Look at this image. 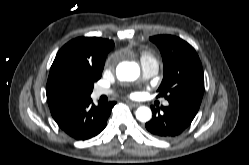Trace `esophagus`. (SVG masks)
<instances>
[{
  "instance_id": "1",
  "label": "esophagus",
  "mask_w": 249,
  "mask_h": 165,
  "mask_svg": "<svg viewBox=\"0 0 249 165\" xmlns=\"http://www.w3.org/2000/svg\"><path fill=\"white\" fill-rule=\"evenodd\" d=\"M127 104H128L129 106H131V107H134V108H136V107H138V106L140 105L139 103L131 102V101H127Z\"/></svg>"
}]
</instances>
